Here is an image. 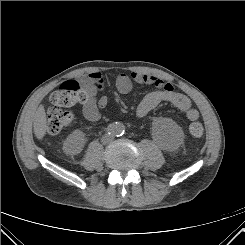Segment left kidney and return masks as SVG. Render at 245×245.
Listing matches in <instances>:
<instances>
[{
	"instance_id": "left-kidney-1",
	"label": "left kidney",
	"mask_w": 245,
	"mask_h": 245,
	"mask_svg": "<svg viewBox=\"0 0 245 245\" xmlns=\"http://www.w3.org/2000/svg\"><path fill=\"white\" fill-rule=\"evenodd\" d=\"M153 132L156 140L168 150L179 147L183 141V131L173 120L159 118L153 124Z\"/></svg>"
}]
</instances>
